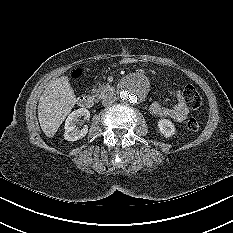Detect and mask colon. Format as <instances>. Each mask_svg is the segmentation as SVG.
Here are the masks:
<instances>
[{
  "label": "colon",
  "mask_w": 233,
  "mask_h": 233,
  "mask_svg": "<svg viewBox=\"0 0 233 233\" xmlns=\"http://www.w3.org/2000/svg\"><path fill=\"white\" fill-rule=\"evenodd\" d=\"M183 96L186 103L194 109H197L202 104V98L198 92V90L193 85H186L183 89ZM200 120L196 117L189 118L185 123V128L188 131H196L200 127Z\"/></svg>",
  "instance_id": "1"
}]
</instances>
